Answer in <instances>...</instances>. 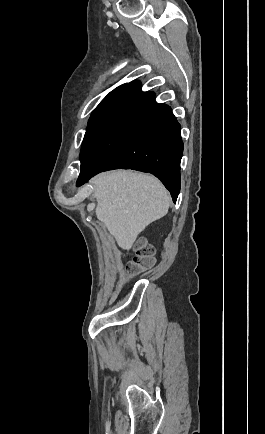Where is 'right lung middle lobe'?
Instances as JSON below:
<instances>
[{"instance_id":"obj_1","label":"right lung middle lobe","mask_w":265,"mask_h":434,"mask_svg":"<svg viewBox=\"0 0 265 434\" xmlns=\"http://www.w3.org/2000/svg\"><path fill=\"white\" fill-rule=\"evenodd\" d=\"M128 84H123L116 89H114L112 92H110L97 106V108L93 111L87 131L85 133V137L82 144L81 149V161L85 158V156L88 153V150L94 141L96 135L98 134L100 127L104 123L105 119L107 118L108 114L110 113L112 107L118 100L119 96L122 94L123 90Z\"/></svg>"}]
</instances>
